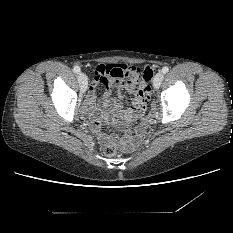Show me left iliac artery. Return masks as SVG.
<instances>
[{"mask_svg":"<svg viewBox=\"0 0 233 233\" xmlns=\"http://www.w3.org/2000/svg\"><path fill=\"white\" fill-rule=\"evenodd\" d=\"M169 71V68L167 66L162 68V72L165 74Z\"/></svg>","mask_w":233,"mask_h":233,"instance_id":"obj_1","label":"left iliac artery"}]
</instances>
